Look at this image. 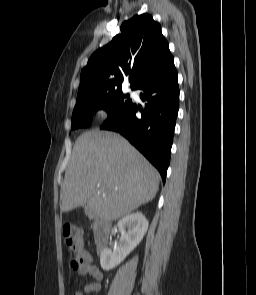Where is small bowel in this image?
Listing matches in <instances>:
<instances>
[{
  "instance_id": "c3829d8e",
  "label": "small bowel",
  "mask_w": 256,
  "mask_h": 295,
  "mask_svg": "<svg viewBox=\"0 0 256 295\" xmlns=\"http://www.w3.org/2000/svg\"><path fill=\"white\" fill-rule=\"evenodd\" d=\"M80 277H91L93 280L89 284L79 288L74 295L89 294L99 292L101 290L103 273L97 265L90 262L80 267L77 271V277L75 279L77 284L80 282Z\"/></svg>"
}]
</instances>
